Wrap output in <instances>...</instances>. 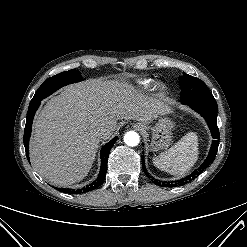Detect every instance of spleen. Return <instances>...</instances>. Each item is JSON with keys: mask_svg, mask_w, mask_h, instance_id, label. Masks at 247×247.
Segmentation results:
<instances>
[{"mask_svg": "<svg viewBox=\"0 0 247 247\" xmlns=\"http://www.w3.org/2000/svg\"><path fill=\"white\" fill-rule=\"evenodd\" d=\"M198 147L197 134L189 132L167 151L155 157L153 164L171 175L182 176L196 163Z\"/></svg>", "mask_w": 247, "mask_h": 247, "instance_id": "obj_1", "label": "spleen"}]
</instances>
